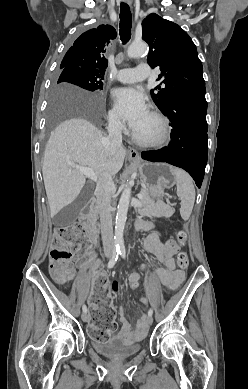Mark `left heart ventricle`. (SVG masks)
Listing matches in <instances>:
<instances>
[{
	"label": "left heart ventricle",
	"instance_id": "left-heart-ventricle-1",
	"mask_svg": "<svg viewBox=\"0 0 248 389\" xmlns=\"http://www.w3.org/2000/svg\"><path fill=\"white\" fill-rule=\"evenodd\" d=\"M133 131L141 138L154 139L160 134V125L158 121L148 113L141 124Z\"/></svg>",
	"mask_w": 248,
	"mask_h": 389
}]
</instances>
